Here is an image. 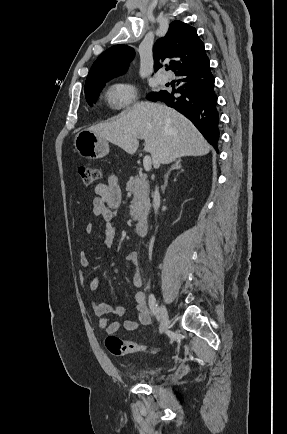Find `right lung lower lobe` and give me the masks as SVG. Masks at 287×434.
Returning <instances> with one entry per match:
<instances>
[{
    "label": "right lung lower lobe",
    "instance_id": "1",
    "mask_svg": "<svg viewBox=\"0 0 287 434\" xmlns=\"http://www.w3.org/2000/svg\"><path fill=\"white\" fill-rule=\"evenodd\" d=\"M175 74L179 77L178 82L182 83L181 87L172 93L167 91L151 93L148 99L165 102L182 113L217 149L219 139L217 96L214 92V77L205 51Z\"/></svg>",
    "mask_w": 287,
    "mask_h": 434
}]
</instances>
